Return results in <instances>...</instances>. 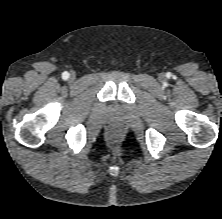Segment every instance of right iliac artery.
<instances>
[{"mask_svg": "<svg viewBox=\"0 0 222 219\" xmlns=\"http://www.w3.org/2000/svg\"><path fill=\"white\" fill-rule=\"evenodd\" d=\"M62 77H63V79H67L69 77V73L63 72Z\"/></svg>", "mask_w": 222, "mask_h": 219, "instance_id": "82829eb1", "label": "right iliac artery"}]
</instances>
